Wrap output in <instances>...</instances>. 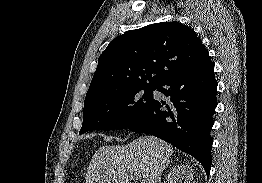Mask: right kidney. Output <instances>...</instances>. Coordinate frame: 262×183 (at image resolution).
I'll use <instances>...</instances> for the list:
<instances>
[{
	"label": "right kidney",
	"mask_w": 262,
	"mask_h": 183,
	"mask_svg": "<svg viewBox=\"0 0 262 183\" xmlns=\"http://www.w3.org/2000/svg\"><path fill=\"white\" fill-rule=\"evenodd\" d=\"M193 174V169L188 165L175 166L170 169L166 183H176L179 180L184 183H193Z\"/></svg>",
	"instance_id": "1"
}]
</instances>
